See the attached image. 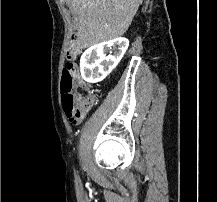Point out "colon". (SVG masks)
I'll use <instances>...</instances> for the list:
<instances>
[{
  "instance_id": "1",
  "label": "colon",
  "mask_w": 217,
  "mask_h": 202,
  "mask_svg": "<svg viewBox=\"0 0 217 202\" xmlns=\"http://www.w3.org/2000/svg\"><path fill=\"white\" fill-rule=\"evenodd\" d=\"M76 41H81V36H76ZM78 47H67L65 60H70L62 70V102L66 117H71V122L76 123L82 119V112L91 111L94 103H97L96 93H88L86 80H76L81 73L82 63H77L74 55H77ZM82 85V86H81ZM74 111V112H71Z\"/></svg>"
}]
</instances>
